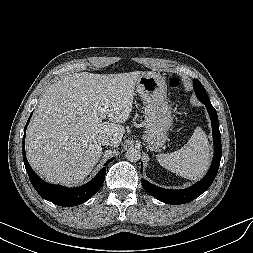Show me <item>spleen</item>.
Here are the masks:
<instances>
[{
	"label": "spleen",
	"instance_id": "obj_1",
	"mask_svg": "<svg viewBox=\"0 0 253 253\" xmlns=\"http://www.w3.org/2000/svg\"><path fill=\"white\" fill-rule=\"evenodd\" d=\"M210 146L205 132L197 127L188 142L170 154L157 155L162 167L184 178L196 180L208 169Z\"/></svg>",
	"mask_w": 253,
	"mask_h": 253
}]
</instances>
